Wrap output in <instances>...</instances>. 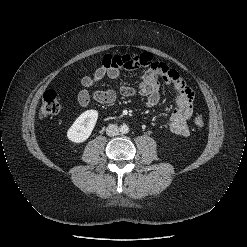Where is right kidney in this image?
Segmentation results:
<instances>
[{
    "label": "right kidney",
    "mask_w": 247,
    "mask_h": 247,
    "mask_svg": "<svg viewBox=\"0 0 247 247\" xmlns=\"http://www.w3.org/2000/svg\"><path fill=\"white\" fill-rule=\"evenodd\" d=\"M97 119L98 111L91 109L83 112L68 129L67 138L74 143L86 141L91 135Z\"/></svg>",
    "instance_id": "ca27d5eb"
}]
</instances>
